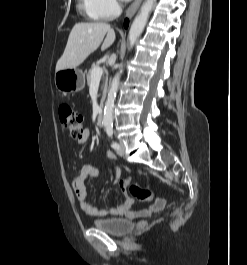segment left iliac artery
<instances>
[{"instance_id": "left-iliac-artery-1", "label": "left iliac artery", "mask_w": 247, "mask_h": 265, "mask_svg": "<svg viewBox=\"0 0 247 265\" xmlns=\"http://www.w3.org/2000/svg\"><path fill=\"white\" fill-rule=\"evenodd\" d=\"M106 133H107V135H108L110 138L113 137V125H112V124H108V125H106ZM111 146H112V148H114V149L119 148L118 143L115 142V141H112V145H111Z\"/></svg>"}]
</instances>
